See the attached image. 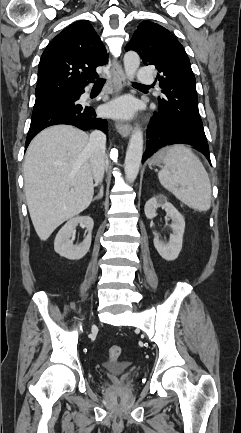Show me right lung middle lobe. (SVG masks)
Segmentation results:
<instances>
[{"mask_svg": "<svg viewBox=\"0 0 241 433\" xmlns=\"http://www.w3.org/2000/svg\"><path fill=\"white\" fill-rule=\"evenodd\" d=\"M75 97L76 93L73 91L55 92L36 96L32 117L54 106L71 102Z\"/></svg>", "mask_w": 241, "mask_h": 433, "instance_id": "1", "label": "right lung middle lobe"}]
</instances>
